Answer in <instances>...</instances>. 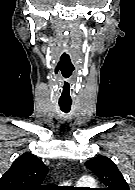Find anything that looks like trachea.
<instances>
[{"mask_svg": "<svg viewBox=\"0 0 135 190\" xmlns=\"http://www.w3.org/2000/svg\"><path fill=\"white\" fill-rule=\"evenodd\" d=\"M59 106L64 113H68L71 109V103H59Z\"/></svg>", "mask_w": 135, "mask_h": 190, "instance_id": "trachea-1", "label": "trachea"}]
</instances>
